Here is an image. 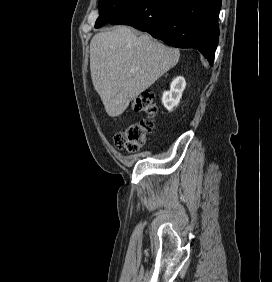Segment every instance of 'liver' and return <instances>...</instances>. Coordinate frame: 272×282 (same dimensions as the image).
I'll return each instance as SVG.
<instances>
[{"label":"liver","mask_w":272,"mask_h":282,"mask_svg":"<svg viewBox=\"0 0 272 282\" xmlns=\"http://www.w3.org/2000/svg\"><path fill=\"white\" fill-rule=\"evenodd\" d=\"M180 52L136 34L127 26L97 33L90 42V71L96 92L111 117L178 63Z\"/></svg>","instance_id":"1"}]
</instances>
